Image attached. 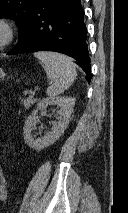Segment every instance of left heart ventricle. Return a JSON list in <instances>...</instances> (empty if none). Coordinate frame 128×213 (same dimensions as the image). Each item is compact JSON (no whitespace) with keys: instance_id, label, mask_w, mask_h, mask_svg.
I'll return each instance as SVG.
<instances>
[{"instance_id":"1","label":"left heart ventricle","mask_w":128,"mask_h":213,"mask_svg":"<svg viewBox=\"0 0 128 213\" xmlns=\"http://www.w3.org/2000/svg\"><path fill=\"white\" fill-rule=\"evenodd\" d=\"M3 37H4V31H3V29L0 27V42L2 41Z\"/></svg>"}]
</instances>
